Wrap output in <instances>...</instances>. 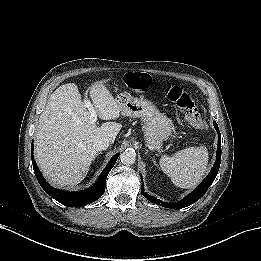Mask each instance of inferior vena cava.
Instances as JSON below:
<instances>
[{"label":"inferior vena cava","instance_id":"obj_1","mask_svg":"<svg viewBox=\"0 0 261 261\" xmlns=\"http://www.w3.org/2000/svg\"><path fill=\"white\" fill-rule=\"evenodd\" d=\"M111 144L110 140L105 137L98 138L94 144L95 150L98 151H103L106 150L109 145Z\"/></svg>","mask_w":261,"mask_h":261}]
</instances>
